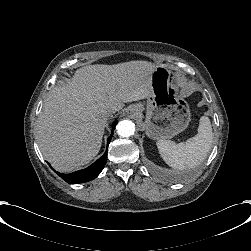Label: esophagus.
Listing matches in <instances>:
<instances>
[{"label":"esophagus","mask_w":251,"mask_h":251,"mask_svg":"<svg viewBox=\"0 0 251 251\" xmlns=\"http://www.w3.org/2000/svg\"><path fill=\"white\" fill-rule=\"evenodd\" d=\"M130 114L132 115V116H136L137 114H138V110L137 109H132L131 111H130Z\"/></svg>","instance_id":"1"}]
</instances>
